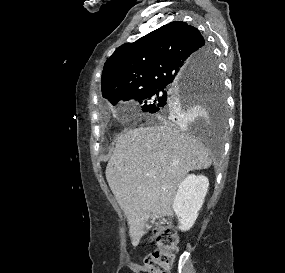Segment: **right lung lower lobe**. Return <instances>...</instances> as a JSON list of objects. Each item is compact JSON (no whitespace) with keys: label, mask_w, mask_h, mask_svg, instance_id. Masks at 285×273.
<instances>
[{"label":"right lung lower lobe","mask_w":285,"mask_h":273,"mask_svg":"<svg viewBox=\"0 0 285 273\" xmlns=\"http://www.w3.org/2000/svg\"><path fill=\"white\" fill-rule=\"evenodd\" d=\"M207 66V62L206 60H202L200 64H198L196 66V70L199 72L203 71V69ZM189 74H187L186 76H184L183 78H181L180 80H178L175 84L176 86H178L179 88L183 87V86H188L189 85Z\"/></svg>","instance_id":"right-lung-lower-lobe-1"}]
</instances>
